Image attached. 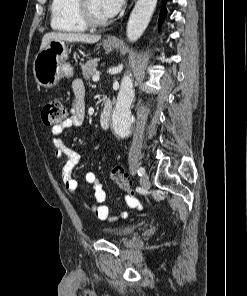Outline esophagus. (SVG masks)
I'll return each instance as SVG.
<instances>
[{"instance_id": "esophagus-1", "label": "esophagus", "mask_w": 247, "mask_h": 296, "mask_svg": "<svg viewBox=\"0 0 247 296\" xmlns=\"http://www.w3.org/2000/svg\"><path fill=\"white\" fill-rule=\"evenodd\" d=\"M107 41H108V42H114L115 40H114V38H111V37H110V38L107 39Z\"/></svg>"}]
</instances>
